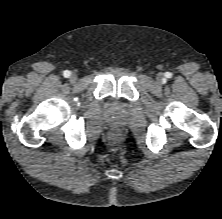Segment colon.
<instances>
[{"label":"colon","mask_w":222,"mask_h":219,"mask_svg":"<svg viewBox=\"0 0 222 219\" xmlns=\"http://www.w3.org/2000/svg\"><path fill=\"white\" fill-rule=\"evenodd\" d=\"M121 135L118 131H111L108 135V140L112 145H116L120 142Z\"/></svg>","instance_id":"obj_1"}]
</instances>
